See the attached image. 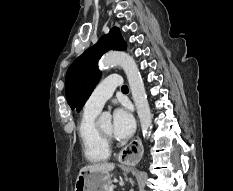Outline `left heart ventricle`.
I'll use <instances>...</instances> for the list:
<instances>
[{
	"mask_svg": "<svg viewBox=\"0 0 233 191\" xmlns=\"http://www.w3.org/2000/svg\"><path fill=\"white\" fill-rule=\"evenodd\" d=\"M99 127L101 128L102 131H104L107 134H111L112 131V124L110 121L102 123L101 125H99Z\"/></svg>",
	"mask_w": 233,
	"mask_h": 191,
	"instance_id": "1",
	"label": "left heart ventricle"
}]
</instances>
